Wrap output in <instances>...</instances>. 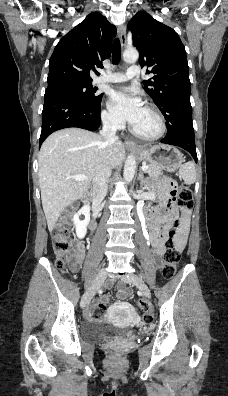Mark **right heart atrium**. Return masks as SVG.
Wrapping results in <instances>:
<instances>
[{
    "label": "right heart atrium",
    "mask_w": 228,
    "mask_h": 396,
    "mask_svg": "<svg viewBox=\"0 0 228 396\" xmlns=\"http://www.w3.org/2000/svg\"><path fill=\"white\" fill-rule=\"evenodd\" d=\"M102 121L103 123L112 129H119L121 127V122L117 120L110 112L104 110L102 112Z\"/></svg>",
    "instance_id": "right-heart-atrium-1"
}]
</instances>
